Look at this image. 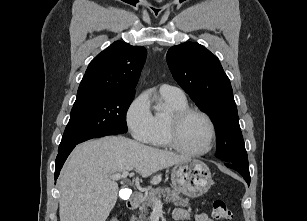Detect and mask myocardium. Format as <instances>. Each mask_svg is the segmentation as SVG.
<instances>
[{
  "label": "myocardium",
  "mask_w": 307,
  "mask_h": 221,
  "mask_svg": "<svg viewBox=\"0 0 307 221\" xmlns=\"http://www.w3.org/2000/svg\"><path fill=\"white\" fill-rule=\"evenodd\" d=\"M192 114H197L203 117L209 126V130H210L209 143H208V146L202 151L187 150L179 142V133H180L181 126L184 120ZM216 138H217V132H216V126H215L213 119L210 117L209 114H207L201 109L193 108V107H186V108L173 112L169 118V123H168L169 146L181 154L191 156V157H201V156L207 155L213 150L215 143H216Z\"/></svg>",
  "instance_id": "1"
}]
</instances>
